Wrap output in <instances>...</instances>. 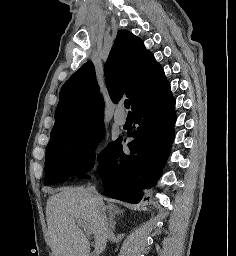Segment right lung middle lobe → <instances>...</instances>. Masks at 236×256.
I'll return each instance as SVG.
<instances>
[{"mask_svg": "<svg viewBox=\"0 0 236 256\" xmlns=\"http://www.w3.org/2000/svg\"><path fill=\"white\" fill-rule=\"evenodd\" d=\"M102 133L99 121L84 124L66 135L51 139L46 150L44 185L66 181L73 176H87L86 173L95 165L94 139ZM114 143L108 144L99 154V164L107 158Z\"/></svg>", "mask_w": 236, "mask_h": 256, "instance_id": "obj_1", "label": "right lung middle lobe"}]
</instances>
